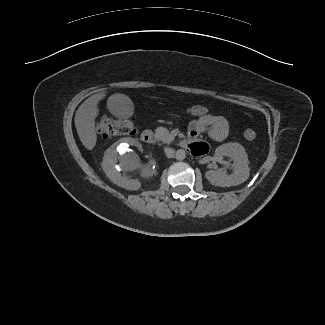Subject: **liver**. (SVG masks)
Masks as SVG:
<instances>
[{"label":"liver","mask_w":325,"mask_h":325,"mask_svg":"<svg viewBox=\"0 0 325 325\" xmlns=\"http://www.w3.org/2000/svg\"><path fill=\"white\" fill-rule=\"evenodd\" d=\"M106 96L105 92L97 93L87 98L78 108L75 114V127L83 146L92 150L97 142L95 119L99 115V102ZM122 100L131 99L124 94H113L108 100L109 103H116ZM133 104V103H132Z\"/></svg>","instance_id":"6515ba94"}]
</instances>
